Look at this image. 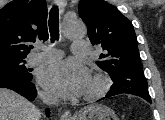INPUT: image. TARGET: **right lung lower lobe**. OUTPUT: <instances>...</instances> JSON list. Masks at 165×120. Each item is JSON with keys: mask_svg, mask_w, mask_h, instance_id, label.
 Masks as SVG:
<instances>
[{"mask_svg": "<svg viewBox=\"0 0 165 120\" xmlns=\"http://www.w3.org/2000/svg\"><path fill=\"white\" fill-rule=\"evenodd\" d=\"M0 87L14 90L28 100L32 101L36 98L37 91L31 80L0 77ZM49 109L46 110V115L49 116Z\"/></svg>", "mask_w": 165, "mask_h": 120, "instance_id": "98d812e1", "label": "right lung lower lobe"}]
</instances>
